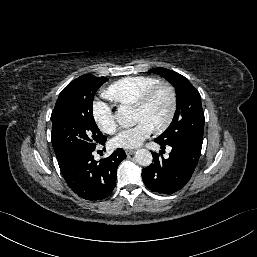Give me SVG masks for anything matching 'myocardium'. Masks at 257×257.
Masks as SVG:
<instances>
[{
    "label": "myocardium",
    "instance_id": "myocardium-1",
    "mask_svg": "<svg viewBox=\"0 0 257 257\" xmlns=\"http://www.w3.org/2000/svg\"><path fill=\"white\" fill-rule=\"evenodd\" d=\"M160 90H166L168 92L170 98V107L165 121L160 126L153 129L155 132L158 133L167 130L174 120L178 107V96L175 87L168 82H158L157 84L146 90L136 102V104L133 106L134 110L145 109L149 105L153 97Z\"/></svg>",
    "mask_w": 257,
    "mask_h": 257
}]
</instances>
